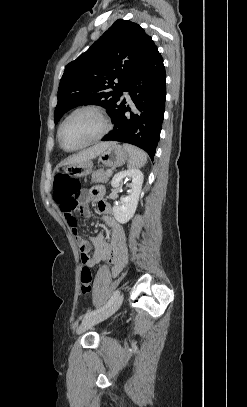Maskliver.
Returning <instances> with one entry per match:
<instances>
[{"mask_svg": "<svg viewBox=\"0 0 247 407\" xmlns=\"http://www.w3.org/2000/svg\"><path fill=\"white\" fill-rule=\"evenodd\" d=\"M111 142H102L99 144L94 145L88 149L80 151L79 153L72 155L68 159H66L62 164L63 165H71L80 163L83 161L91 160L98 156L106 147H108Z\"/></svg>", "mask_w": 247, "mask_h": 407, "instance_id": "obj_1", "label": "liver"}]
</instances>
